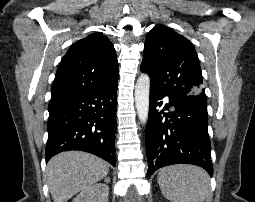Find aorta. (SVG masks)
<instances>
[{
	"label": "aorta",
	"instance_id": "aorta-1",
	"mask_svg": "<svg viewBox=\"0 0 255 202\" xmlns=\"http://www.w3.org/2000/svg\"><path fill=\"white\" fill-rule=\"evenodd\" d=\"M150 77L141 74L135 86V105L139 120L146 124L149 115Z\"/></svg>",
	"mask_w": 255,
	"mask_h": 202
}]
</instances>
